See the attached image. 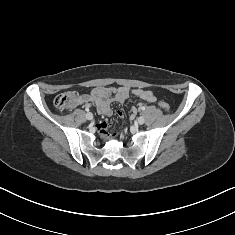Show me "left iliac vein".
Listing matches in <instances>:
<instances>
[{
    "label": "left iliac vein",
    "instance_id": "1",
    "mask_svg": "<svg viewBox=\"0 0 235 235\" xmlns=\"http://www.w3.org/2000/svg\"><path fill=\"white\" fill-rule=\"evenodd\" d=\"M137 124L142 125L145 122V119L143 116H140L136 120Z\"/></svg>",
    "mask_w": 235,
    "mask_h": 235
}]
</instances>
